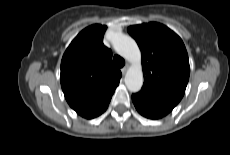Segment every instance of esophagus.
Returning a JSON list of instances; mask_svg holds the SVG:
<instances>
[{
    "mask_svg": "<svg viewBox=\"0 0 230 155\" xmlns=\"http://www.w3.org/2000/svg\"><path fill=\"white\" fill-rule=\"evenodd\" d=\"M129 66H130V64L127 63V64L121 69V71H122L123 74H125V73L127 72V70L129 69Z\"/></svg>",
    "mask_w": 230,
    "mask_h": 155,
    "instance_id": "1",
    "label": "esophagus"
}]
</instances>
